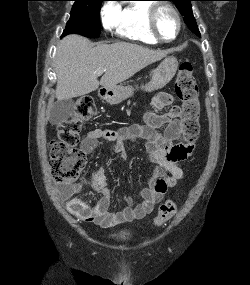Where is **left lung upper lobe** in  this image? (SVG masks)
Instances as JSON below:
<instances>
[{"label": "left lung upper lobe", "mask_w": 250, "mask_h": 285, "mask_svg": "<svg viewBox=\"0 0 250 285\" xmlns=\"http://www.w3.org/2000/svg\"><path fill=\"white\" fill-rule=\"evenodd\" d=\"M175 3L177 8L179 9L182 16H184V21L189 27V29L194 32L197 36H200V32L198 30L196 20L193 16L191 1L194 0H171Z\"/></svg>", "instance_id": "5c2ea615"}]
</instances>
